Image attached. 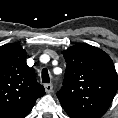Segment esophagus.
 I'll return each instance as SVG.
<instances>
[{
  "label": "esophagus",
  "mask_w": 118,
  "mask_h": 118,
  "mask_svg": "<svg viewBox=\"0 0 118 118\" xmlns=\"http://www.w3.org/2000/svg\"><path fill=\"white\" fill-rule=\"evenodd\" d=\"M44 87H45L46 93H50L53 89V85L51 83L45 84Z\"/></svg>",
  "instance_id": "34e87169"
}]
</instances>
